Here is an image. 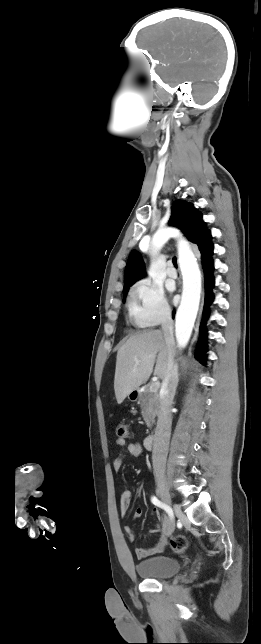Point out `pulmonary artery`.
I'll return each instance as SVG.
<instances>
[{
	"instance_id": "pulmonary-artery-1",
	"label": "pulmonary artery",
	"mask_w": 261,
	"mask_h": 644,
	"mask_svg": "<svg viewBox=\"0 0 261 644\" xmlns=\"http://www.w3.org/2000/svg\"><path fill=\"white\" fill-rule=\"evenodd\" d=\"M167 274H168V276H169V277H171V278H176V277H177V271H176V269H175L172 265H170V266L167 268Z\"/></svg>"
}]
</instances>
